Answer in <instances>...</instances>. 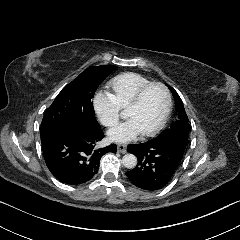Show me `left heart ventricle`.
Here are the masks:
<instances>
[{
    "mask_svg": "<svg viewBox=\"0 0 240 240\" xmlns=\"http://www.w3.org/2000/svg\"><path fill=\"white\" fill-rule=\"evenodd\" d=\"M164 110V93L158 87H152L144 94L140 105L123 117L133 120L141 132L149 131L160 121Z\"/></svg>",
    "mask_w": 240,
    "mask_h": 240,
    "instance_id": "obj_1",
    "label": "left heart ventricle"
}]
</instances>
